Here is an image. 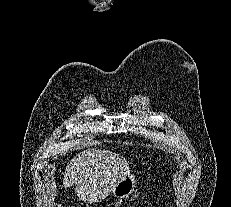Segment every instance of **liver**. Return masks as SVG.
Masks as SVG:
<instances>
[{"label":"liver","instance_id":"6515ba94","mask_svg":"<svg viewBox=\"0 0 231 207\" xmlns=\"http://www.w3.org/2000/svg\"><path fill=\"white\" fill-rule=\"evenodd\" d=\"M130 174L127 161L108 150L81 151L66 166L63 186L75 185L80 200L94 203L105 199L117 183Z\"/></svg>","mask_w":231,"mask_h":207}]
</instances>
